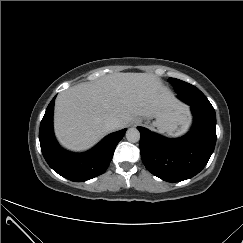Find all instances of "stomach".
<instances>
[{
	"mask_svg": "<svg viewBox=\"0 0 243 243\" xmlns=\"http://www.w3.org/2000/svg\"><path fill=\"white\" fill-rule=\"evenodd\" d=\"M147 120L148 122L152 120L151 125L162 133L179 135L188 128L190 115L187 110L165 108L156 112Z\"/></svg>",
	"mask_w": 243,
	"mask_h": 243,
	"instance_id": "0dacf381",
	"label": "stomach"
}]
</instances>
